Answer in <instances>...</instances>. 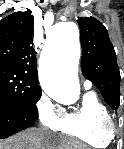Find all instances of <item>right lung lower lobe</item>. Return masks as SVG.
<instances>
[{"mask_svg": "<svg viewBox=\"0 0 124 149\" xmlns=\"http://www.w3.org/2000/svg\"><path fill=\"white\" fill-rule=\"evenodd\" d=\"M37 116L25 106L0 101V139L31 127Z\"/></svg>", "mask_w": 124, "mask_h": 149, "instance_id": "right-lung-lower-lobe-1", "label": "right lung lower lobe"}]
</instances>
